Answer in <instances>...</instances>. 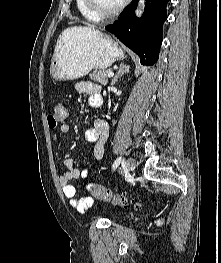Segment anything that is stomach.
I'll use <instances>...</instances> for the list:
<instances>
[{"label":"stomach","mask_w":221,"mask_h":263,"mask_svg":"<svg viewBox=\"0 0 221 263\" xmlns=\"http://www.w3.org/2000/svg\"><path fill=\"white\" fill-rule=\"evenodd\" d=\"M123 57L122 49L109 35L73 27L63 31L57 41L50 75L55 80H74L92 69H106Z\"/></svg>","instance_id":"0dacf381"}]
</instances>
